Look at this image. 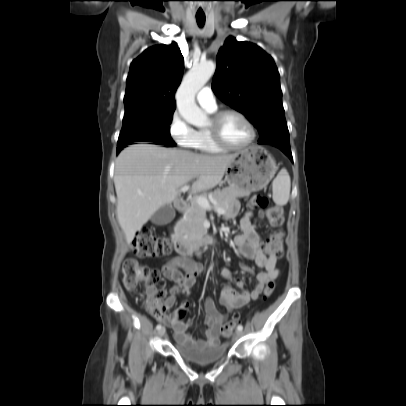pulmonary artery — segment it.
<instances>
[{
    "mask_svg": "<svg viewBox=\"0 0 406 406\" xmlns=\"http://www.w3.org/2000/svg\"><path fill=\"white\" fill-rule=\"evenodd\" d=\"M198 103L208 111L216 109V99L209 86H205L197 94Z\"/></svg>",
    "mask_w": 406,
    "mask_h": 406,
    "instance_id": "1",
    "label": "pulmonary artery"
}]
</instances>
